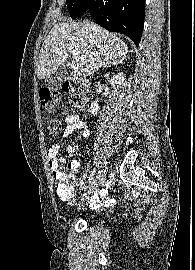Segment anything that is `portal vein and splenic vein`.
I'll return each instance as SVG.
<instances>
[{
	"label": "portal vein and splenic vein",
	"instance_id": "1",
	"mask_svg": "<svg viewBox=\"0 0 195 270\" xmlns=\"http://www.w3.org/2000/svg\"><path fill=\"white\" fill-rule=\"evenodd\" d=\"M70 52H71V54H72L73 56L78 55V53H77L76 51L70 50Z\"/></svg>",
	"mask_w": 195,
	"mask_h": 270
}]
</instances>
